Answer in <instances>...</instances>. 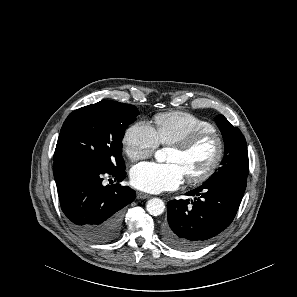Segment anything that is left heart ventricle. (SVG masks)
<instances>
[{
    "label": "left heart ventricle",
    "mask_w": 297,
    "mask_h": 297,
    "mask_svg": "<svg viewBox=\"0 0 297 297\" xmlns=\"http://www.w3.org/2000/svg\"><path fill=\"white\" fill-rule=\"evenodd\" d=\"M217 151L216 140L207 138L186 152L177 148H170L166 160L178 163L187 177L203 172L212 163Z\"/></svg>",
    "instance_id": "1"
}]
</instances>
